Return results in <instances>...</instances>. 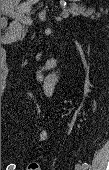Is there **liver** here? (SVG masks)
<instances>
[{
    "instance_id": "liver-1",
    "label": "liver",
    "mask_w": 109,
    "mask_h": 170,
    "mask_svg": "<svg viewBox=\"0 0 109 170\" xmlns=\"http://www.w3.org/2000/svg\"><path fill=\"white\" fill-rule=\"evenodd\" d=\"M40 0H26V2L19 4L20 0H2V3H4V6H12L15 4L17 6V11H21L24 13H28L31 10V5L39 2Z\"/></svg>"
}]
</instances>
